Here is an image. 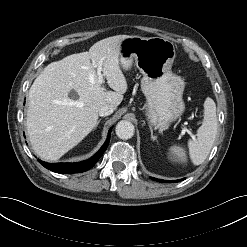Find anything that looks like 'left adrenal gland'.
Listing matches in <instances>:
<instances>
[{"label": "left adrenal gland", "instance_id": "obj_1", "mask_svg": "<svg viewBox=\"0 0 247 247\" xmlns=\"http://www.w3.org/2000/svg\"><path fill=\"white\" fill-rule=\"evenodd\" d=\"M150 132H151V139L152 140H156V136L153 135V129H152V127H150Z\"/></svg>", "mask_w": 247, "mask_h": 247}]
</instances>
